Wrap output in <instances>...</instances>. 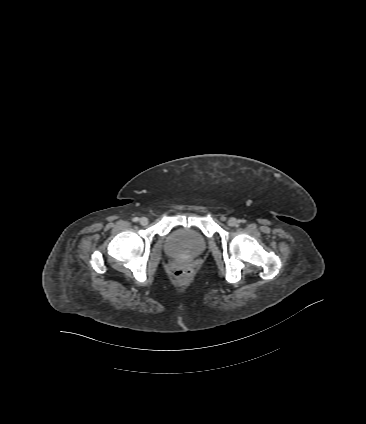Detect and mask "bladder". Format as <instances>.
Here are the masks:
<instances>
[{
    "label": "bladder",
    "mask_w": 366,
    "mask_h": 424,
    "mask_svg": "<svg viewBox=\"0 0 366 424\" xmlns=\"http://www.w3.org/2000/svg\"><path fill=\"white\" fill-rule=\"evenodd\" d=\"M163 247L172 256L196 257L205 250L206 238L197 230L182 227L166 236Z\"/></svg>",
    "instance_id": "bladder-1"
}]
</instances>
